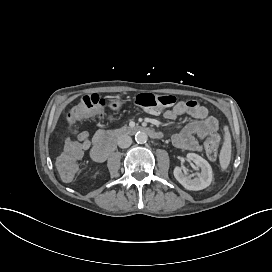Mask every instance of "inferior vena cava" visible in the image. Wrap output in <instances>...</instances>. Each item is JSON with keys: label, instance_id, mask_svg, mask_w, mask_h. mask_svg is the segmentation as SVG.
<instances>
[{"label": "inferior vena cava", "instance_id": "602c4592", "mask_svg": "<svg viewBox=\"0 0 272 272\" xmlns=\"http://www.w3.org/2000/svg\"><path fill=\"white\" fill-rule=\"evenodd\" d=\"M132 143V138L129 135H121L118 138V146L121 148H128Z\"/></svg>", "mask_w": 272, "mask_h": 272}]
</instances>
